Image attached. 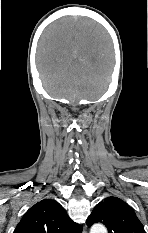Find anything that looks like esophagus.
Segmentation results:
<instances>
[{
	"instance_id": "1",
	"label": "esophagus",
	"mask_w": 148,
	"mask_h": 233,
	"mask_svg": "<svg viewBox=\"0 0 148 233\" xmlns=\"http://www.w3.org/2000/svg\"><path fill=\"white\" fill-rule=\"evenodd\" d=\"M83 233H87V230H84Z\"/></svg>"
}]
</instances>
